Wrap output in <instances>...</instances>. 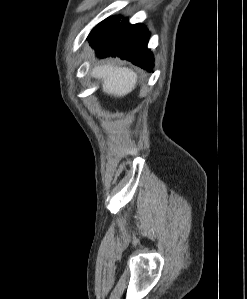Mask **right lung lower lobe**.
<instances>
[{"label":"right lung lower lobe","instance_id":"1","mask_svg":"<svg viewBox=\"0 0 247 299\" xmlns=\"http://www.w3.org/2000/svg\"><path fill=\"white\" fill-rule=\"evenodd\" d=\"M149 30L143 24L131 25L126 19L94 35H89L90 44L100 57L118 56L133 64L152 71L154 58L147 48Z\"/></svg>","mask_w":247,"mask_h":299}]
</instances>
